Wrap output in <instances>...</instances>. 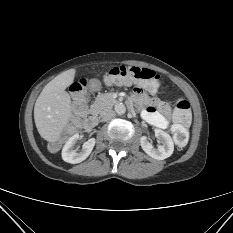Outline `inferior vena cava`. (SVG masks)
<instances>
[{
  "label": "inferior vena cava",
  "instance_id": "obj_1",
  "mask_svg": "<svg viewBox=\"0 0 233 233\" xmlns=\"http://www.w3.org/2000/svg\"><path fill=\"white\" fill-rule=\"evenodd\" d=\"M115 115H116V114H115V111H113V110H108V111H106V112L102 115V119H101V120H102L103 122H106V121L112 119Z\"/></svg>",
  "mask_w": 233,
  "mask_h": 233
}]
</instances>
